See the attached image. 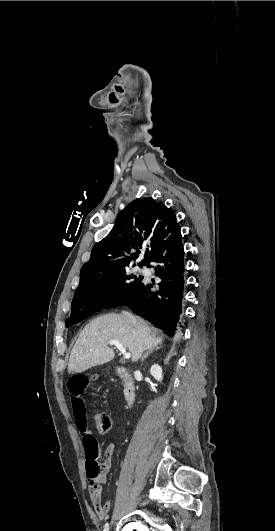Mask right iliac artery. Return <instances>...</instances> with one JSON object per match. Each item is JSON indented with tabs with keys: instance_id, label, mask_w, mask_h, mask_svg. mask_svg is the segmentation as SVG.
<instances>
[{
	"instance_id": "right-iliac-artery-1",
	"label": "right iliac artery",
	"mask_w": 275,
	"mask_h": 531,
	"mask_svg": "<svg viewBox=\"0 0 275 531\" xmlns=\"http://www.w3.org/2000/svg\"><path fill=\"white\" fill-rule=\"evenodd\" d=\"M103 531H109V525H108V523L105 524V526H104V530H103Z\"/></svg>"
}]
</instances>
